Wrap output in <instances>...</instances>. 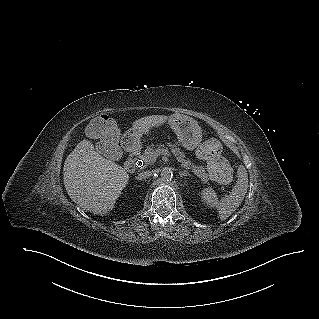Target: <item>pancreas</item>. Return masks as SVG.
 I'll use <instances>...</instances> for the list:
<instances>
[{
  "instance_id": "1",
  "label": "pancreas",
  "mask_w": 319,
  "mask_h": 319,
  "mask_svg": "<svg viewBox=\"0 0 319 319\" xmlns=\"http://www.w3.org/2000/svg\"><path fill=\"white\" fill-rule=\"evenodd\" d=\"M168 146L171 149V152L176 156L178 162L181 163L182 167L185 169H191L192 172L197 175L204 183H207L209 178L208 174L205 172L204 167L195 166L190 160L186 159L185 154L180 150L176 144L168 143ZM157 150H166L164 145H160L156 150L153 147H148L145 152L140 155L138 158L144 163V167H147L149 164L154 163L153 155Z\"/></svg>"
}]
</instances>
